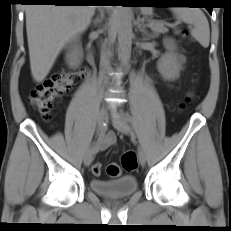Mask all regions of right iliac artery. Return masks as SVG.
Segmentation results:
<instances>
[{
  "mask_svg": "<svg viewBox=\"0 0 231 231\" xmlns=\"http://www.w3.org/2000/svg\"><path fill=\"white\" fill-rule=\"evenodd\" d=\"M105 131H106L105 128L102 127V129L97 132L98 141L105 136ZM91 149L93 151V154L97 153V150L95 149V147H93Z\"/></svg>",
  "mask_w": 231,
  "mask_h": 231,
  "instance_id": "right-iliac-artery-1",
  "label": "right iliac artery"
}]
</instances>
